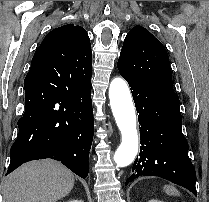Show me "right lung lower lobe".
I'll return each instance as SVG.
<instances>
[{"instance_id":"98d812e1","label":"right lung lower lobe","mask_w":209,"mask_h":202,"mask_svg":"<svg viewBox=\"0 0 209 202\" xmlns=\"http://www.w3.org/2000/svg\"><path fill=\"white\" fill-rule=\"evenodd\" d=\"M24 89L25 111L18 120L7 173L25 162L52 158L86 178L94 134L91 83L61 84L46 71L31 67Z\"/></svg>"}]
</instances>
